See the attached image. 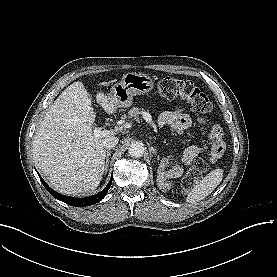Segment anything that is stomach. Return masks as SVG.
Returning a JSON list of instances; mask_svg holds the SVG:
<instances>
[{
  "label": "stomach",
  "mask_w": 277,
  "mask_h": 277,
  "mask_svg": "<svg viewBox=\"0 0 277 277\" xmlns=\"http://www.w3.org/2000/svg\"><path fill=\"white\" fill-rule=\"evenodd\" d=\"M154 88L153 79L143 73L128 72L115 83L108 96L118 108H128L133 103L134 95L149 93Z\"/></svg>",
  "instance_id": "0dacf381"
}]
</instances>
